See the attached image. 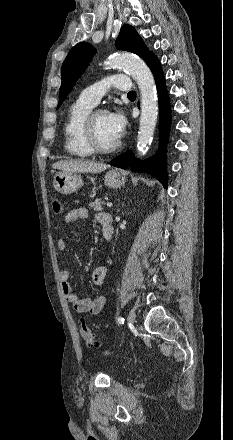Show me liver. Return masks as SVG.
Wrapping results in <instances>:
<instances>
[{"mask_svg":"<svg viewBox=\"0 0 233 440\" xmlns=\"http://www.w3.org/2000/svg\"><path fill=\"white\" fill-rule=\"evenodd\" d=\"M109 166L103 163L87 161L82 159L77 160H61L52 165V168L61 170L66 173H99L106 170Z\"/></svg>","mask_w":233,"mask_h":440,"instance_id":"1","label":"liver"}]
</instances>
